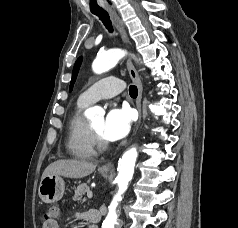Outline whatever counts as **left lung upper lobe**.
Returning <instances> with one entry per match:
<instances>
[{
  "instance_id": "left-lung-upper-lobe-1",
  "label": "left lung upper lobe",
  "mask_w": 238,
  "mask_h": 228,
  "mask_svg": "<svg viewBox=\"0 0 238 228\" xmlns=\"http://www.w3.org/2000/svg\"><path fill=\"white\" fill-rule=\"evenodd\" d=\"M81 62H82V57L78 58L75 65H74L69 92H71L72 89H73V84L75 83V80H76Z\"/></svg>"
}]
</instances>
